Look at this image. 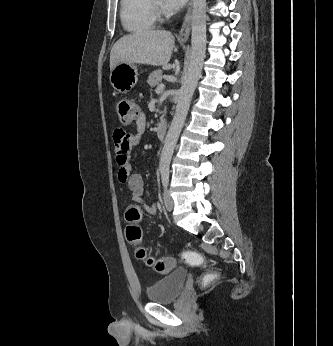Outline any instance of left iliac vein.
Instances as JSON below:
<instances>
[{"mask_svg":"<svg viewBox=\"0 0 333 346\" xmlns=\"http://www.w3.org/2000/svg\"><path fill=\"white\" fill-rule=\"evenodd\" d=\"M163 197H164V204H165L166 209L168 211H172L174 208V201H173V198L171 197V195L169 194L168 190L164 191Z\"/></svg>","mask_w":333,"mask_h":346,"instance_id":"obj_1","label":"left iliac vein"}]
</instances>
